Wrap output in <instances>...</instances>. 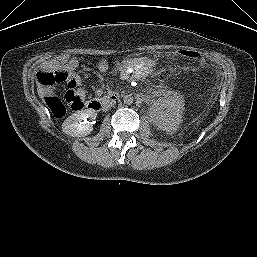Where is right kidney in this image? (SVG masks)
Instances as JSON below:
<instances>
[{
  "instance_id": "ca27d5eb",
  "label": "right kidney",
  "mask_w": 257,
  "mask_h": 257,
  "mask_svg": "<svg viewBox=\"0 0 257 257\" xmlns=\"http://www.w3.org/2000/svg\"><path fill=\"white\" fill-rule=\"evenodd\" d=\"M96 116L97 113L90 109L75 112L63 122L62 130L72 137H84L92 132Z\"/></svg>"
}]
</instances>
